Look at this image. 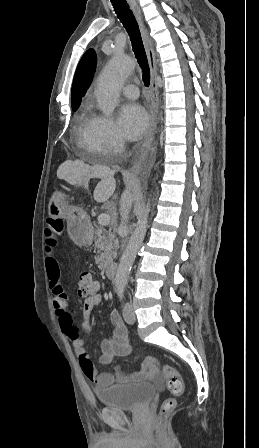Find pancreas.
<instances>
[{
  "instance_id": "pancreas-1",
  "label": "pancreas",
  "mask_w": 259,
  "mask_h": 448,
  "mask_svg": "<svg viewBox=\"0 0 259 448\" xmlns=\"http://www.w3.org/2000/svg\"><path fill=\"white\" fill-rule=\"evenodd\" d=\"M96 234L97 254H100V256L95 258V262L98 264L99 270H105L108 264H112L114 258L117 256V252H115L117 250V240H115L114 232L104 230L101 226L97 228Z\"/></svg>"
}]
</instances>
